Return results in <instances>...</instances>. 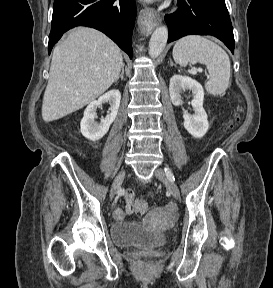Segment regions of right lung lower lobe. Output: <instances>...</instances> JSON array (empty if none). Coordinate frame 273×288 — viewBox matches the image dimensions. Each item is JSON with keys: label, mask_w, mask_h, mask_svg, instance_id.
<instances>
[{"label": "right lung lower lobe", "mask_w": 273, "mask_h": 288, "mask_svg": "<svg viewBox=\"0 0 273 288\" xmlns=\"http://www.w3.org/2000/svg\"><path fill=\"white\" fill-rule=\"evenodd\" d=\"M135 0H55L48 52L75 26L98 29L132 58Z\"/></svg>", "instance_id": "obj_1"}]
</instances>
